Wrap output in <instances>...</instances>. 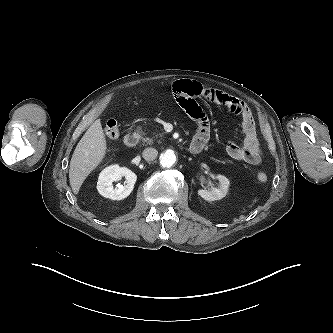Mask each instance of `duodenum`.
Wrapping results in <instances>:
<instances>
[{"mask_svg": "<svg viewBox=\"0 0 333 333\" xmlns=\"http://www.w3.org/2000/svg\"><path fill=\"white\" fill-rule=\"evenodd\" d=\"M138 142H139V135L135 132H130L126 134L124 137V143L128 147L131 148L135 147L138 144ZM203 148H204V143L200 141H192L189 147L190 151L195 154L201 152Z\"/></svg>", "mask_w": 333, "mask_h": 333, "instance_id": "1", "label": "duodenum"}]
</instances>
